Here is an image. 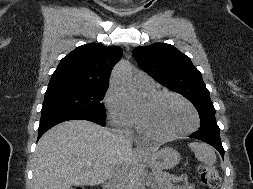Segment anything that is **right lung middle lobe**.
Returning a JSON list of instances; mask_svg holds the SVG:
<instances>
[{
  "label": "right lung middle lobe",
  "instance_id": "dd1d6c3e",
  "mask_svg": "<svg viewBox=\"0 0 253 189\" xmlns=\"http://www.w3.org/2000/svg\"><path fill=\"white\" fill-rule=\"evenodd\" d=\"M108 87L62 86L48 88L45 93L42 113L72 112L105 119V106L101 102Z\"/></svg>",
  "mask_w": 253,
  "mask_h": 189
}]
</instances>
